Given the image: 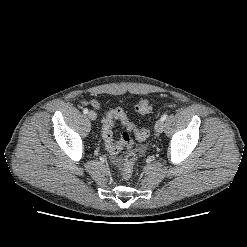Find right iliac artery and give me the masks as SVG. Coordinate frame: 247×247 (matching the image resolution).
Returning a JSON list of instances; mask_svg holds the SVG:
<instances>
[{"label": "right iliac artery", "instance_id": "1", "mask_svg": "<svg viewBox=\"0 0 247 247\" xmlns=\"http://www.w3.org/2000/svg\"><path fill=\"white\" fill-rule=\"evenodd\" d=\"M83 113H84V114H87V113H88V109L85 108V109L83 110Z\"/></svg>", "mask_w": 247, "mask_h": 247}]
</instances>
